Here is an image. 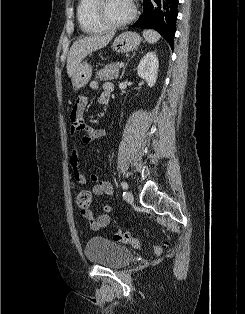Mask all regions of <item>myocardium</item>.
I'll return each mask as SVG.
<instances>
[{
    "label": "myocardium",
    "mask_w": 245,
    "mask_h": 314,
    "mask_svg": "<svg viewBox=\"0 0 245 314\" xmlns=\"http://www.w3.org/2000/svg\"><path fill=\"white\" fill-rule=\"evenodd\" d=\"M104 3L105 0H96L94 5V16L95 19L107 29L122 28L130 24L137 16V7L132 2V12L130 16L121 22H111L104 15Z\"/></svg>",
    "instance_id": "myocardium-1"
}]
</instances>
